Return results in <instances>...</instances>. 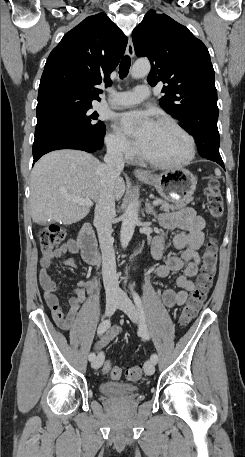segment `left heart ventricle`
I'll return each mask as SVG.
<instances>
[{
  "label": "left heart ventricle",
  "instance_id": "obj_1",
  "mask_svg": "<svg viewBox=\"0 0 245 457\" xmlns=\"http://www.w3.org/2000/svg\"><path fill=\"white\" fill-rule=\"evenodd\" d=\"M185 146L186 141L179 133L168 128L157 127L141 151L156 159L178 160L184 156Z\"/></svg>",
  "mask_w": 245,
  "mask_h": 457
}]
</instances>
